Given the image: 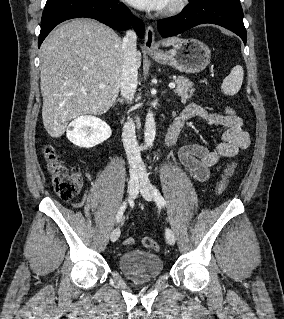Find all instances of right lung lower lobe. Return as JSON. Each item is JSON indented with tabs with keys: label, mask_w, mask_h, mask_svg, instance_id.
I'll return each instance as SVG.
<instances>
[{
	"label": "right lung lower lobe",
	"mask_w": 284,
	"mask_h": 319,
	"mask_svg": "<svg viewBox=\"0 0 284 319\" xmlns=\"http://www.w3.org/2000/svg\"><path fill=\"white\" fill-rule=\"evenodd\" d=\"M77 17L93 18L117 30L127 29L134 20L129 9L119 0H61L44 8L38 47L56 25ZM134 22L136 33L142 38L144 24L140 19Z\"/></svg>",
	"instance_id": "obj_1"
}]
</instances>
